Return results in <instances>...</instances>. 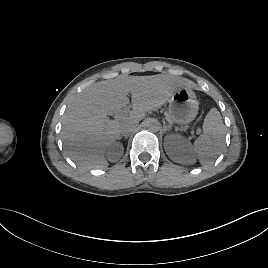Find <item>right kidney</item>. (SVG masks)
I'll list each match as a JSON object with an SVG mask.
<instances>
[{
    "mask_svg": "<svg viewBox=\"0 0 268 268\" xmlns=\"http://www.w3.org/2000/svg\"><path fill=\"white\" fill-rule=\"evenodd\" d=\"M123 153V145L119 142H115L106 151V156L109 161L117 162L122 157Z\"/></svg>",
    "mask_w": 268,
    "mask_h": 268,
    "instance_id": "obj_1",
    "label": "right kidney"
}]
</instances>
